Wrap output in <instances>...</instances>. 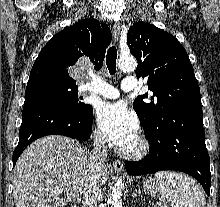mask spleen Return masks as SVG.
<instances>
[{
	"label": "spleen",
	"mask_w": 220,
	"mask_h": 207,
	"mask_svg": "<svg viewBox=\"0 0 220 207\" xmlns=\"http://www.w3.org/2000/svg\"><path fill=\"white\" fill-rule=\"evenodd\" d=\"M161 194L158 207H205L203 189L191 177L170 171L155 174Z\"/></svg>",
	"instance_id": "spleen-1"
}]
</instances>
